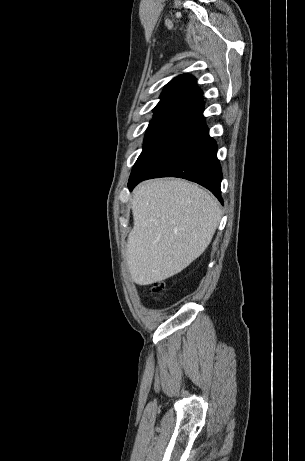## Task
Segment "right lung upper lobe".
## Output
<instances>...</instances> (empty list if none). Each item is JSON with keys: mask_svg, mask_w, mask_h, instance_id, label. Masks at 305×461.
<instances>
[{"mask_svg": "<svg viewBox=\"0 0 305 461\" xmlns=\"http://www.w3.org/2000/svg\"><path fill=\"white\" fill-rule=\"evenodd\" d=\"M202 95L193 76L181 75L165 86L160 96L161 100L155 108L183 107L189 109L202 103Z\"/></svg>", "mask_w": 305, "mask_h": 461, "instance_id": "right-lung-upper-lobe-1", "label": "right lung upper lobe"}]
</instances>
